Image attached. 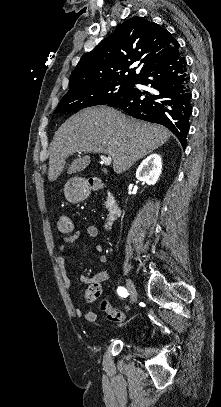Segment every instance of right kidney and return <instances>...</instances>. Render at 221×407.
<instances>
[{
	"label": "right kidney",
	"instance_id": "obj_1",
	"mask_svg": "<svg viewBox=\"0 0 221 407\" xmlns=\"http://www.w3.org/2000/svg\"><path fill=\"white\" fill-rule=\"evenodd\" d=\"M162 170V159L158 154H151L142 161L136 171V178L148 185L158 181Z\"/></svg>",
	"mask_w": 221,
	"mask_h": 407
}]
</instances>
